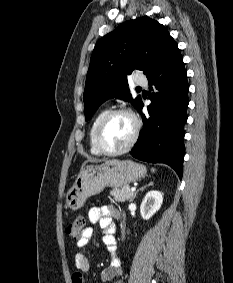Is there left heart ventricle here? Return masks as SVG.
Returning a JSON list of instances; mask_svg holds the SVG:
<instances>
[{
  "instance_id": "left-heart-ventricle-1",
  "label": "left heart ventricle",
  "mask_w": 233,
  "mask_h": 283,
  "mask_svg": "<svg viewBox=\"0 0 233 283\" xmlns=\"http://www.w3.org/2000/svg\"><path fill=\"white\" fill-rule=\"evenodd\" d=\"M134 132V122L130 116L119 114L112 117L106 124L101 142L108 150H118L124 147Z\"/></svg>"
}]
</instances>
